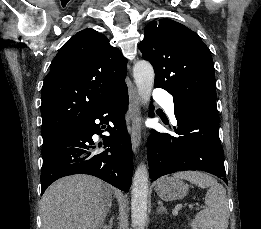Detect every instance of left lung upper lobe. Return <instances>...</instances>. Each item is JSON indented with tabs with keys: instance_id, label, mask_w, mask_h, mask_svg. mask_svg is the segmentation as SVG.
<instances>
[{
	"instance_id": "left-lung-upper-lobe-1",
	"label": "left lung upper lobe",
	"mask_w": 261,
	"mask_h": 229,
	"mask_svg": "<svg viewBox=\"0 0 261 229\" xmlns=\"http://www.w3.org/2000/svg\"><path fill=\"white\" fill-rule=\"evenodd\" d=\"M155 71V87L168 91L174 103H198L217 111L213 60L201 38L170 19L150 22L139 44Z\"/></svg>"
}]
</instances>
